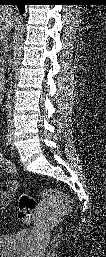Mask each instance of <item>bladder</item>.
I'll return each instance as SVG.
<instances>
[{"instance_id":"31cf9c89","label":"bladder","mask_w":106,"mask_h":257,"mask_svg":"<svg viewBox=\"0 0 106 257\" xmlns=\"http://www.w3.org/2000/svg\"><path fill=\"white\" fill-rule=\"evenodd\" d=\"M32 240V234L28 230L0 237L1 257H27Z\"/></svg>"}]
</instances>
